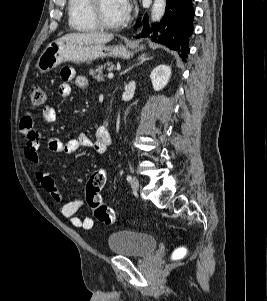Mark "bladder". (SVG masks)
<instances>
[{"instance_id": "bladder-1", "label": "bladder", "mask_w": 267, "mask_h": 301, "mask_svg": "<svg viewBox=\"0 0 267 301\" xmlns=\"http://www.w3.org/2000/svg\"><path fill=\"white\" fill-rule=\"evenodd\" d=\"M107 244L113 254L140 258L152 254L158 246V240L147 233L120 230L109 235Z\"/></svg>"}]
</instances>
